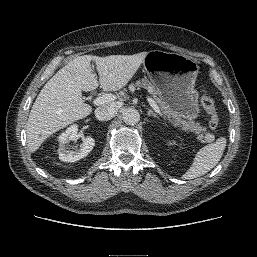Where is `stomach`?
Segmentation results:
<instances>
[{"mask_svg": "<svg viewBox=\"0 0 257 257\" xmlns=\"http://www.w3.org/2000/svg\"><path fill=\"white\" fill-rule=\"evenodd\" d=\"M143 66L172 111L188 121L199 116V92L195 89L199 66L195 59L152 50L147 52Z\"/></svg>", "mask_w": 257, "mask_h": 257, "instance_id": "obj_1", "label": "stomach"}]
</instances>
